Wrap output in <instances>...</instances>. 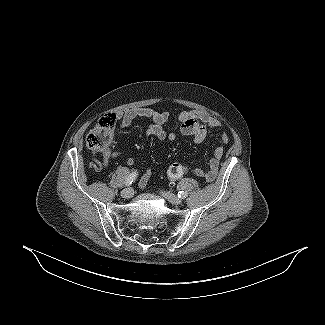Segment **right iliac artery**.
Instances as JSON below:
<instances>
[{
	"label": "right iliac artery",
	"instance_id": "82829eb1",
	"mask_svg": "<svg viewBox=\"0 0 325 325\" xmlns=\"http://www.w3.org/2000/svg\"><path fill=\"white\" fill-rule=\"evenodd\" d=\"M137 175H138V172H132L127 178H126V180H125V185L126 186H129V185H131L133 182H134V180L137 178Z\"/></svg>",
	"mask_w": 325,
	"mask_h": 325
}]
</instances>
